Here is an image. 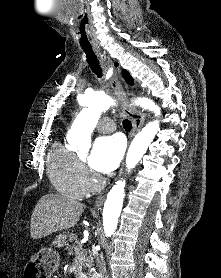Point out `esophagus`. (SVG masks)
Here are the masks:
<instances>
[{"label": "esophagus", "instance_id": "34e87169", "mask_svg": "<svg viewBox=\"0 0 221 278\" xmlns=\"http://www.w3.org/2000/svg\"><path fill=\"white\" fill-rule=\"evenodd\" d=\"M95 53L97 57L99 58L100 64L106 73L109 69L110 66L114 68V74L110 79L112 88L117 95L118 99L121 102L122 110L123 112L131 119L132 121V131L130 137H134L137 132L140 131L142 126L144 125L146 115L140 110H136L133 108L128 101L127 95L125 91L123 90V86L121 83V69L120 65L118 64L117 61L112 62L110 58L106 59L104 57V53L100 51L99 49H95ZM124 171V165H122L119 175H122ZM107 195V191H103L95 200L94 207L99 208L102 206L105 198Z\"/></svg>", "mask_w": 221, "mask_h": 278}]
</instances>
